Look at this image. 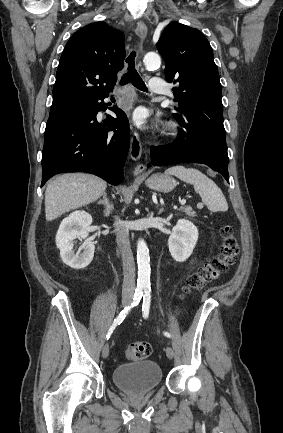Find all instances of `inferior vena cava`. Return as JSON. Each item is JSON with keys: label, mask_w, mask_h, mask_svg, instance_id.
I'll use <instances>...</instances> for the list:
<instances>
[{"label": "inferior vena cava", "mask_w": 283, "mask_h": 433, "mask_svg": "<svg viewBox=\"0 0 283 433\" xmlns=\"http://www.w3.org/2000/svg\"><path fill=\"white\" fill-rule=\"evenodd\" d=\"M116 229L117 247L121 253L124 271L122 293H132L133 295L135 291V265L130 249L129 231L124 227V223H116Z\"/></svg>", "instance_id": "1"}]
</instances>
